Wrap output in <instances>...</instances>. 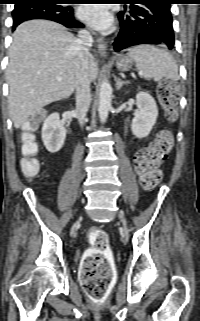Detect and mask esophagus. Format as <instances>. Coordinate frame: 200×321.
<instances>
[{
    "mask_svg": "<svg viewBox=\"0 0 200 321\" xmlns=\"http://www.w3.org/2000/svg\"><path fill=\"white\" fill-rule=\"evenodd\" d=\"M97 48H98V52L99 54L104 57L106 55V51H107V44L104 41V39L102 38H97Z\"/></svg>",
    "mask_w": 200,
    "mask_h": 321,
    "instance_id": "obj_1",
    "label": "esophagus"
}]
</instances>
